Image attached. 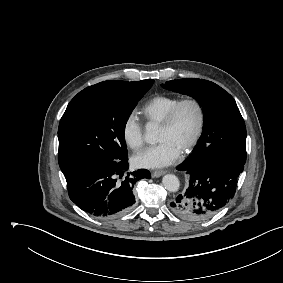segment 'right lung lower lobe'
I'll return each instance as SVG.
<instances>
[{
  "mask_svg": "<svg viewBox=\"0 0 283 283\" xmlns=\"http://www.w3.org/2000/svg\"><path fill=\"white\" fill-rule=\"evenodd\" d=\"M127 160H93L64 172L70 199L83 211L99 218L130 211L135 203L136 182L149 179L150 172L139 169L126 174Z\"/></svg>",
  "mask_w": 283,
  "mask_h": 283,
  "instance_id": "98d812e1",
  "label": "right lung lower lobe"
}]
</instances>
